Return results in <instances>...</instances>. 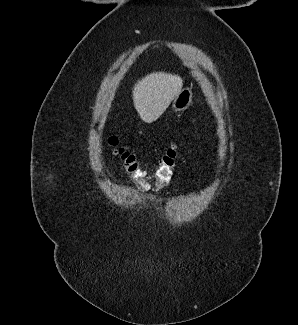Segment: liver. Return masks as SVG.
<instances>
[{
  "mask_svg": "<svg viewBox=\"0 0 298 325\" xmlns=\"http://www.w3.org/2000/svg\"><path fill=\"white\" fill-rule=\"evenodd\" d=\"M184 78L175 72H149L133 86V104L144 122L157 120L182 90Z\"/></svg>",
  "mask_w": 298,
  "mask_h": 325,
  "instance_id": "1",
  "label": "liver"
}]
</instances>
